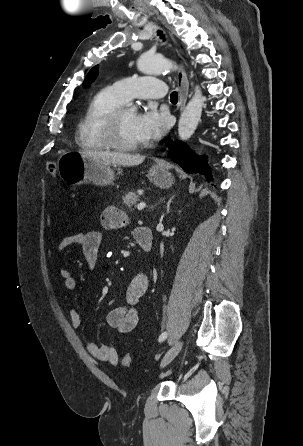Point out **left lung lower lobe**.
I'll list each match as a JSON object with an SVG mask.
<instances>
[{"mask_svg": "<svg viewBox=\"0 0 303 446\" xmlns=\"http://www.w3.org/2000/svg\"><path fill=\"white\" fill-rule=\"evenodd\" d=\"M169 155L175 160L186 172L188 173H201L207 178L211 179L209 167L207 165L205 157H197L193 155L189 150H186L183 144L179 141H168Z\"/></svg>", "mask_w": 303, "mask_h": 446, "instance_id": "obj_1", "label": "left lung lower lobe"}]
</instances>
